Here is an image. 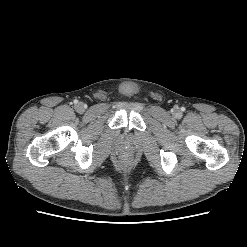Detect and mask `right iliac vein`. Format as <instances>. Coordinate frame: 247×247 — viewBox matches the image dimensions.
Segmentation results:
<instances>
[{
    "instance_id": "63e3f726",
    "label": "right iliac vein",
    "mask_w": 247,
    "mask_h": 247,
    "mask_svg": "<svg viewBox=\"0 0 247 247\" xmlns=\"http://www.w3.org/2000/svg\"><path fill=\"white\" fill-rule=\"evenodd\" d=\"M75 109L79 113H83L85 111V105L82 102H79L76 106Z\"/></svg>"
}]
</instances>
